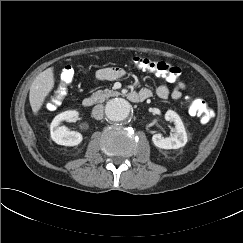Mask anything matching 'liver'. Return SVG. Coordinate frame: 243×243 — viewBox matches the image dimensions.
<instances>
[{"mask_svg": "<svg viewBox=\"0 0 243 243\" xmlns=\"http://www.w3.org/2000/svg\"><path fill=\"white\" fill-rule=\"evenodd\" d=\"M53 67L41 72L33 81L30 92L29 101L33 113L36 115L41 109L45 98L54 87V73Z\"/></svg>", "mask_w": 243, "mask_h": 243, "instance_id": "obj_1", "label": "liver"}]
</instances>
